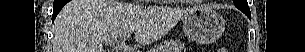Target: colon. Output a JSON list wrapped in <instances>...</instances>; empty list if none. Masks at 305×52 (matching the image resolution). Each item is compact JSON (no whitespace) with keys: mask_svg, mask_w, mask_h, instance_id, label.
Here are the masks:
<instances>
[{"mask_svg":"<svg viewBox=\"0 0 305 52\" xmlns=\"http://www.w3.org/2000/svg\"><path fill=\"white\" fill-rule=\"evenodd\" d=\"M220 51H221V52H226L224 49H221Z\"/></svg>","mask_w":305,"mask_h":52,"instance_id":"5ec220e1","label":"colon"}]
</instances>
